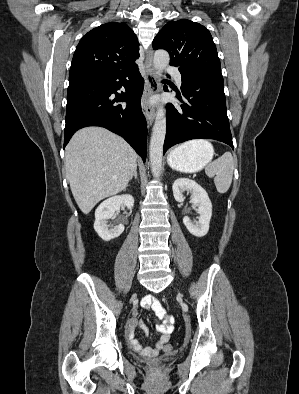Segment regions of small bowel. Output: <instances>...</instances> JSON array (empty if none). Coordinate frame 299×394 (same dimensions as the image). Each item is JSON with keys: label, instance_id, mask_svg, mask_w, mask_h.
Instances as JSON below:
<instances>
[{"label": "small bowel", "instance_id": "obj_1", "mask_svg": "<svg viewBox=\"0 0 299 394\" xmlns=\"http://www.w3.org/2000/svg\"><path fill=\"white\" fill-rule=\"evenodd\" d=\"M142 306L154 312L157 322L155 323L156 330L161 334L154 347H144L135 338V329L139 325L145 334H148V328L144 322H139L136 318V310H133V316L129 320L127 327V339L134 351L143 356L154 357L157 356L164 346L168 343L170 336L174 330V318L168 315L162 304L154 296L148 295L143 298Z\"/></svg>", "mask_w": 299, "mask_h": 394}]
</instances>
